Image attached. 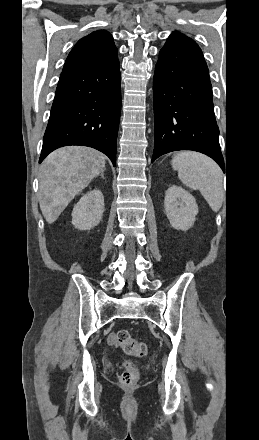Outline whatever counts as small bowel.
Wrapping results in <instances>:
<instances>
[{
	"label": "small bowel",
	"instance_id": "obj_1",
	"mask_svg": "<svg viewBox=\"0 0 259 440\" xmlns=\"http://www.w3.org/2000/svg\"><path fill=\"white\" fill-rule=\"evenodd\" d=\"M107 343L110 346H116V337L114 333H111L107 338Z\"/></svg>",
	"mask_w": 259,
	"mask_h": 440
}]
</instances>
